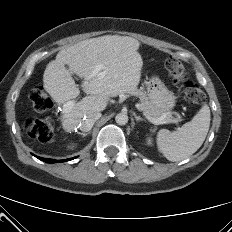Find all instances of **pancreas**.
<instances>
[{"mask_svg":"<svg viewBox=\"0 0 232 232\" xmlns=\"http://www.w3.org/2000/svg\"><path fill=\"white\" fill-rule=\"evenodd\" d=\"M131 95H134L140 99V104L138 109L143 111L152 118H160L165 116L166 119H172L170 115L166 116L158 107H156L147 97V95L141 90H135L131 92Z\"/></svg>","mask_w":232,"mask_h":232,"instance_id":"1","label":"pancreas"}]
</instances>
